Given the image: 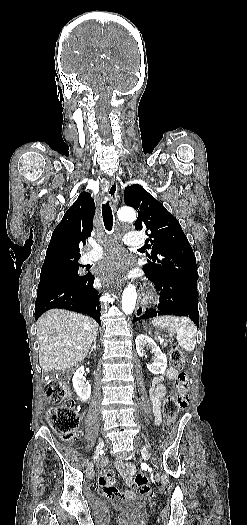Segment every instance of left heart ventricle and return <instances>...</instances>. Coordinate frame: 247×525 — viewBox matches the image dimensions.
Returning <instances> with one entry per match:
<instances>
[{
    "label": "left heart ventricle",
    "mask_w": 247,
    "mask_h": 525,
    "mask_svg": "<svg viewBox=\"0 0 247 525\" xmlns=\"http://www.w3.org/2000/svg\"><path fill=\"white\" fill-rule=\"evenodd\" d=\"M136 267V264L133 263V261L127 266V271L132 270Z\"/></svg>",
    "instance_id": "obj_1"
}]
</instances>
